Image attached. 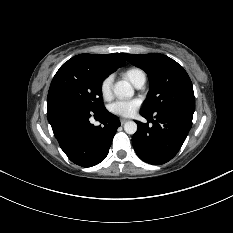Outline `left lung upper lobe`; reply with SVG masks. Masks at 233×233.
Segmentation results:
<instances>
[{
    "instance_id": "left-lung-upper-lobe-1",
    "label": "left lung upper lobe",
    "mask_w": 233,
    "mask_h": 233,
    "mask_svg": "<svg viewBox=\"0 0 233 233\" xmlns=\"http://www.w3.org/2000/svg\"><path fill=\"white\" fill-rule=\"evenodd\" d=\"M123 55L128 62L143 69L149 77L151 91L142 111L154 114L171 110L193 115L195 97L192 83L180 64L158 53Z\"/></svg>"
}]
</instances>
